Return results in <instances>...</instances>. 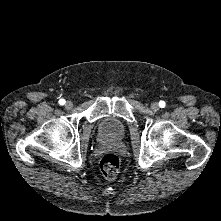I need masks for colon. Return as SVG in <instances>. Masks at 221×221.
I'll return each instance as SVG.
<instances>
[{
  "label": "colon",
  "instance_id": "colon-1",
  "mask_svg": "<svg viewBox=\"0 0 221 221\" xmlns=\"http://www.w3.org/2000/svg\"><path fill=\"white\" fill-rule=\"evenodd\" d=\"M120 168L119 158L112 153L105 154L100 161V170L106 179H114Z\"/></svg>",
  "mask_w": 221,
  "mask_h": 221
}]
</instances>
